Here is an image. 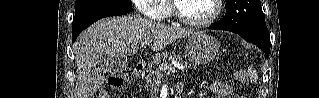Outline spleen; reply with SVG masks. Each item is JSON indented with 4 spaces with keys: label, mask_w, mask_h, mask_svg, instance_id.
Returning a JSON list of instances; mask_svg holds the SVG:
<instances>
[{
    "label": "spleen",
    "mask_w": 319,
    "mask_h": 98,
    "mask_svg": "<svg viewBox=\"0 0 319 98\" xmlns=\"http://www.w3.org/2000/svg\"><path fill=\"white\" fill-rule=\"evenodd\" d=\"M248 75L250 77L251 82L257 83L258 75L256 70L252 66L248 68Z\"/></svg>",
    "instance_id": "1"
}]
</instances>
